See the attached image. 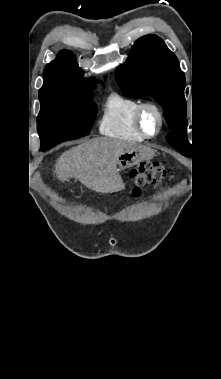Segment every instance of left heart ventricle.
Wrapping results in <instances>:
<instances>
[{"label": "left heart ventricle", "instance_id": "left-heart-ventricle-1", "mask_svg": "<svg viewBox=\"0 0 221 379\" xmlns=\"http://www.w3.org/2000/svg\"><path fill=\"white\" fill-rule=\"evenodd\" d=\"M144 126H145V129L150 132V133H153L156 128H157V118H156V115L154 112L152 111H147L145 113V116H144Z\"/></svg>", "mask_w": 221, "mask_h": 379}]
</instances>
